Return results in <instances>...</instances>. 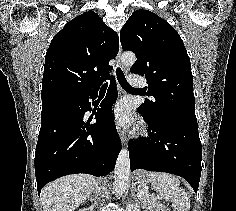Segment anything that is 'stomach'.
<instances>
[{"label": "stomach", "instance_id": "1", "mask_svg": "<svg viewBox=\"0 0 236 211\" xmlns=\"http://www.w3.org/2000/svg\"><path fill=\"white\" fill-rule=\"evenodd\" d=\"M135 180L139 186L144 187L148 182L147 173L144 171H138L135 173Z\"/></svg>", "mask_w": 236, "mask_h": 211}]
</instances>
